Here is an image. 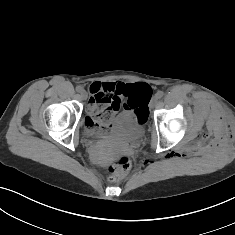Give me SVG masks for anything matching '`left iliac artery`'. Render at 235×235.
Returning a JSON list of instances; mask_svg holds the SVG:
<instances>
[{
  "label": "left iliac artery",
  "mask_w": 235,
  "mask_h": 235,
  "mask_svg": "<svg viewBox=\"0 0 235 235\" xmlns=\"http://www.w3.org/2000/svg\"><path fill=\"white\" fill-rule=\"evenodd\" d=\"M163 95H164L163 91H158V92L155 94V96H156L158 99L162 98Z\"/></svg>",
  "instance_id": "obj_1"
}]
</instances>
